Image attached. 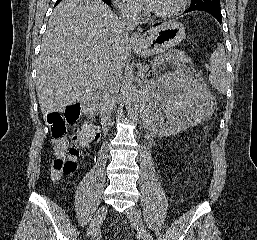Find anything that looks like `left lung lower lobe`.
Masks as SVG:
<instances>
[{"label":"left lung lower lobe","instance_id":"obj_1","mask_svg":"<svg viewBox=\"0 0 257 240\" xmlns=\"http://www.w3.org/2000/svg\"><path fill=\"white\" fill-rule=\"evenodd\" d=\"M191 11L207 12L210 15H212L220 24L222 23V15H221L220 8H203V9H197V10L187 9L185 12H191ZM157 25H158V23L154 24V26H157Z\"/></svg>","mask_w":257,"mask_h":240}]
</instances>
